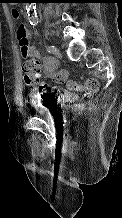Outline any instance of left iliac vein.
Instances as JSON below:
<instances>
[{"mask_svg": "<svg viewBox=\"0 0 122 218\" xmlns=\"http://www.w3.org/2000/svg\"><path fill=\"white\" fill-rule=\"evenodd\" d=\"M55 56L57 58H62V53L60 52V50H58L57 48H55V52H54Z\"/></svg>", "mask_w": 122, "mask_h": 218, "instance_id": "left-iliac-vein-1", "label": "left iliac vein"}]
</instances>
